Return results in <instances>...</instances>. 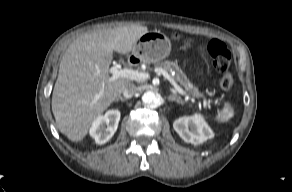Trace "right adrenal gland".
Returning <instances> with one entry per match:
<instances>
[{"mask_svg":"<svg viewBox=\"0 0 292 192\" xmlns=\"http://www.w3.org/2000/svg\"><path fill=\"white\" fill-rule=\"evenodd\" d=\"M116 101H117V102H118V101L124 102L125 99L119 96V97L116 99Z\"/></svg>","mask_w":292,"mask_h":192,"instance_id":"2a0ac1e0","label":"right adrenal gland"}]
</instances>
